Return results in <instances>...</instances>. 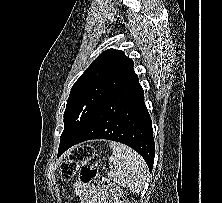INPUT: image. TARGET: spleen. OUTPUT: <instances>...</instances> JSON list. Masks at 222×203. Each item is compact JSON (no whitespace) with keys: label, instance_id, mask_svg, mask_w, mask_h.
<instances>
[{"label":"spleen","instance_id":"obj_1","mask_svg":"<svg viewBox=\"0 0 222 203\" xmlns=\"http://www.w3.org/2000/svg\"><path fill=\"white\" fill-rule=\"evenodd\" d=\"M110 147L113 154L109 161L114 164V169L108 173V176L132 192L141 191L148 180V166L144 159L124 144L110 142Z\"/></svg>","mask_w":222,"mask_h":203}]
</instances>
